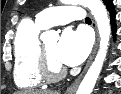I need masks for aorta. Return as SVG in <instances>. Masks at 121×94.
<instances>
[{"label": "aorta", "mask_w": 121, "mask_h": 94, "mask_svg": "<svg viewBox=\"0 0 121 94\" xmlns=\"http://www.w3.org/2000/svg\"><path fill=\"white\" fill-rule=\"evenodd\" d=\"M61 2L64 4H81L89 8L95 18V21L97 22L100 35L99 51L96 55L94 62L92 63L85 77L83 78L76 93L91 94L98 79V76L101 72L104 60L106 58L110 40L111 28L107 10L102 0H61ZM58 37V33L53 30L47 31L41 35V39L44 41L52 38L58 39Z\"/></svg>", "instance_id": "aorta-1"}]
</instances>
